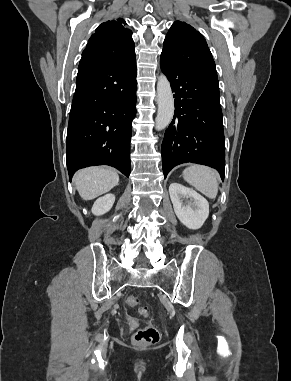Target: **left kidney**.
<instances>
[{
	"label": "left kidney",
	"mask_w": 291,
	"mask_h": 381,
	"mask_svg": "<svg viewBox=\"0 0 291 381\" xmlns=\"http://www.w3.org/2000/svg\"><path fill=\"white\" fill-rule=\"evenodd\" d=\"M169 194L176 216L189 229H199L209 216L207 200L195 190L171 183Z\"/></svg>",
	"instance_id": "left-kidney-1"
}]
</instances>
